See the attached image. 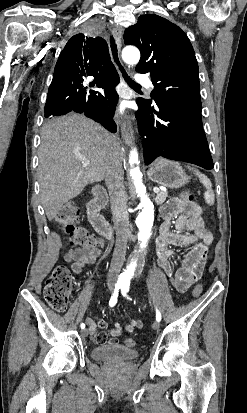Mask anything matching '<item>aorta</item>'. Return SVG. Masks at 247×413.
<instances>
[{"mask_svg":"<svg viewBox=\"0 0 247 413\" xmlns=\"http://www.w3.org/2000/svg\"><path fill=\"white\" fill-rule=\"evenodd\" d=\"M122 58L125 63L130 65H135L140 60V52L134 46H126L122 51ZM129 163L131 165L130 175L132 177L133 183L135 185L136 193L140 198V206L142 207L141 212L136 218L137 227L140 230V238L142 241L141 248L145 246L147 240L151 235V229L154 221V205L149 199L146 193V187L142 182V173L139 167L138 153L134 149L130 152ZM136 165V166H134ZM136 267V259H133L130 263L127 273L134 271Z\"/></svg>","mask_w":247,"mask_h":413,"instance_id":"1","label":"aorta"}]
</instances>
